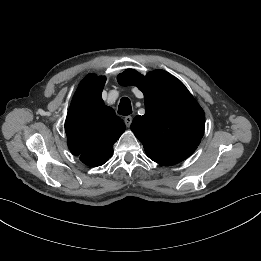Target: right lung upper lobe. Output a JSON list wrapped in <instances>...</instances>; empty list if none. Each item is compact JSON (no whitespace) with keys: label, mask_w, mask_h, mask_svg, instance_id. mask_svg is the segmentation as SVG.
<instances>
[{"label":"right lung upper lobe","mask_w":261,"mask_h":261,"mask_svg":"<svg viewBox=\"0 0 261 261\" xmlns=\"http://www.w3.org/2000/svg\"><path fill=\"white\" fill-rule=\"evenodd\" d=\"M105 77L88 75L79 85L65 122L70 151L91 167L103 165L125 124L101 98Z\"/></svg>","instance_id":"cb5924a9"}]
</instances>
